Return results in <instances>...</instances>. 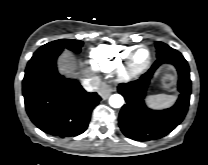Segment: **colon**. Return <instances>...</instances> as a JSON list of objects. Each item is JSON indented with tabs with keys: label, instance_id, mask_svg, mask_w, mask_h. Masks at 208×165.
Here are the masks:
<instances>
[{
	"label": "colon",
	"instance_id": "obj_1",
	"mask_svg": "<svg viewBox=\"0 0 208 165\" xmlns=\"http://www.w3.org/2000/svg\"><path fill=\"white\" fill-rule=\"evenodd\" d=\"M163 83H164L165 87H171L173 84V82L170 78H165Z\"/></svg>",
	"mask_w": 208,
	"mask_h": 165
}]
</instances>
